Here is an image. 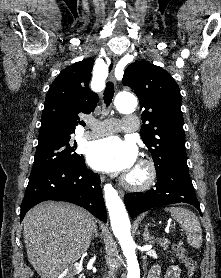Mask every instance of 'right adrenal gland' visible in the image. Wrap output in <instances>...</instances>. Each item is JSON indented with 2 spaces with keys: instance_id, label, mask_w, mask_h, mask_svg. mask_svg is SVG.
Here are the masks:
<instances>
[{
  "instance_id": "right-adrenal-gland-1",
  "label": "right adrenal gland",
  "mask_w": 221,
  "mask_h": 278,
  "mask_svg": "<svg viewBox=\"0 0 221 278\" xmlns=\"http://www.w3.org/2000/svg\"><path fill=\"white\" fill-rule=\"evenodd\" d=\"M97 237H98V232H97V230H95V232H94L92 238L94 239V238H97Z\"/></svg>"
}]
</instances>
